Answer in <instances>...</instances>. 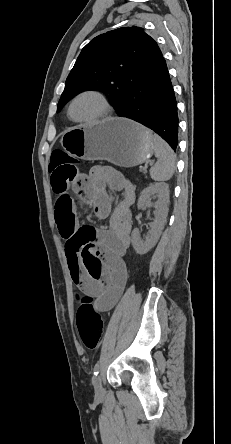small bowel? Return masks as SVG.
I'll return each mask as SVG.
<instances>
[{"label": "small bowel", "mask_w": 231, "mask_h": 444, "mask_svg": "<svg viewBox=\"0 0 231 444\" xmlns=\"http://www.w3.org/2000/svg\"><path fill=\"white\" fill-rule=\"evenodd\" d=\"M71 185L98 219L109 217L107 228L95 230L93 236H81ZM52 186L58 194L55 218L65 241L72 282L93 299L96 311H108L121 297L128 279L124 255L130 245L133 187L121 173L106 166L93 167L87 176L66 186L58 187L53 182ZM107 187L122 193L112 212Z\"/></svg>", "instance_id": "c3829d8e"}]
</instances>
